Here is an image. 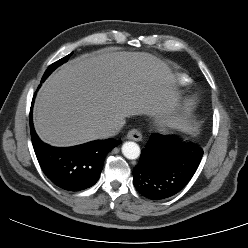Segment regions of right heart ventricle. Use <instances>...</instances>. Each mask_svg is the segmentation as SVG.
<instances>
[{
    "mask_svg": "<svg viewBox=\"0 0 248 248\" xmlns=\"http://www.w3.org/2000/svg\"><path fill=\"white\" fill-rule=\"evenodd\" d=\"M179 82H180L181 84H187V83H188V79H187L186 77H181V78L179 79Z\"/></svg>",
    "mask_w": 248,
    "mask_h": 248,
    "instance_id": "right-heart-ventricle-1",
    "label": "right heart ventricle"
}]
</instances>
